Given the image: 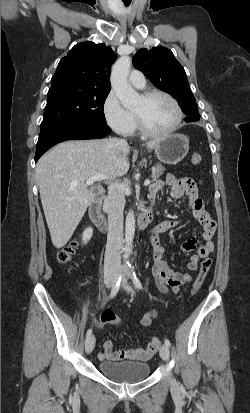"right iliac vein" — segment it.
Wrapping results in <instances>:
<instances>
[{"label": "right iliac vein", "instance_id": "1", "mask_svg": "<svg viewBox=\"0 0 250 413\" xmlns=\"http://www.w3.org/2000/svg\"><path fill=\"white\" fill-rule=\"evenodd\" d=\"M116 273H109L105 276V285L110 288L114 285L116 281ZM95 346V337L93 335H90L87 337L85 340V350L87 353L92 352Z\"/></svg>", "mask_w": 250, "mask_h": 413}]
</instances>
